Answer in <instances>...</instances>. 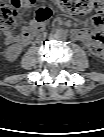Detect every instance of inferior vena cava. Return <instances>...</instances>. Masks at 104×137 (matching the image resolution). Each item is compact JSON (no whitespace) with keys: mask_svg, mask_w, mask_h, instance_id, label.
<instances>
[{"mask_svg":"<svg viewBox=\"0 0 104 137\" xmlns=\"http://www.w3.org/2000/svg\"><path fill=\"white\" fill-rule=\"evenodd\" d=\"M38 43L39 44H42V45H45V44H47L48 43V36L47 35H44V34H42V35H39L38 36Z\"/></svg>","mask_w":104,"mask_h":137,"instance_id":"obj_1","label":"inferior vena cava"}]
</instances>
